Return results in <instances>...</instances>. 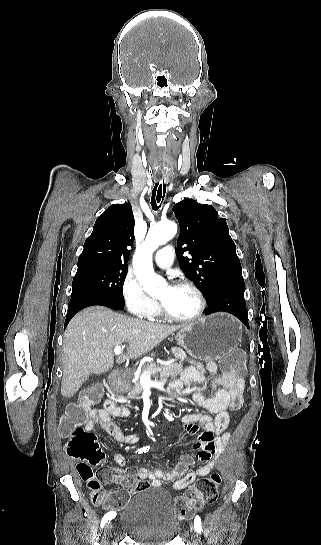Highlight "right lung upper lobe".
Masks as SVG:
<instances>
[{"label":"right lung upper lobe","mask_w":321,"mask_h":545,"mask_svg":"<svg viewBox=\"0 0 321 545\" xmlns=\"http://www.w3.org/2000/svg\"><path fill=\"white\" fill-rule=\"evenodd\" d=\"M134 216L130 204H113L100 215L78 258V268L92 265L128 267Z\"/></svg>","instance_id":"cb5924a9"}]
</instances>
